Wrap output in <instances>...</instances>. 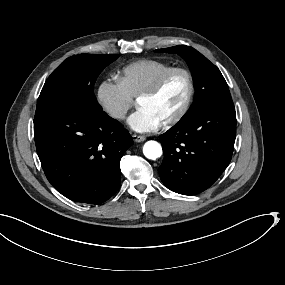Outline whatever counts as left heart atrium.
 Listing matches in <instances>:
<instances>
[{"instance_id":"39dd6f15","label":"left heart atrium","mask_w":285,"mask_h":285,"mask_svg":"<svg viewBox=\"0 0 285 285\" xmlns=\"http://www.w3.org/2000/svg\"><path fill=\"white\" fill-rule=\"evenodd\" d=\"M160 123L158 117L144 104H140L136 111L129 117L127 124L136 131L147 132L155 129Z\"/></svg>"}]
</instances>
